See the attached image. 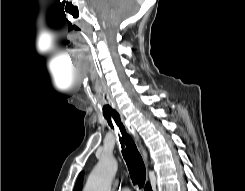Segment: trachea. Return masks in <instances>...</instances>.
Listing matches in <instances>:
<instances>
[{
  "label": "trachea",
  "instance_id": "3493384b",
  "mask_svg": "<svg viewBox=\"0 0 245 191\" xmlns=\"http://www.w3.org/2000/svg\"><path fill=\"white\" fill-rule=\"evenodd\" d=\"M103 116L109 126L117 132L122 148V155L126 161L133 184H138L139 188H142L146 179V169L143 159L133 139L127 134L121 122L120 115L107 101L103 104Z\"/></svg>",
  "mask_w": 245,
  "mask_h": 191
}]
</instances>
